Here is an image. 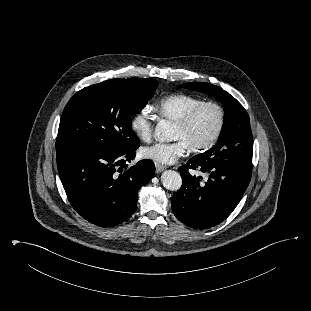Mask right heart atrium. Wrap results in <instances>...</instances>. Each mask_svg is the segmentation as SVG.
Returning a JSON list of instances; mask_svg holds the SVG:
<instances>
[{"mask_svg": "<svg viewBox=\"0 0 311 311\" xmlns=\"http://www.w3.org/2000/svg\"><path fill=\"white\" fill-rule=\"evenodd\" d=\"M130 127L133 133L144 142L149 141L153 135V119L149 106L138 111L131 119Z\"/></svg>", "mask_w": 311, "mask_h": 311, "instance_id": "right-heart-atrium-1", "label": "right heart atrium"}]
</instances>
